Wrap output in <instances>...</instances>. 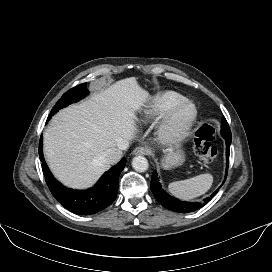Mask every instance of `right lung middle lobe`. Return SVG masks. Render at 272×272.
<instances>
[{
    "label": "right lung middle lobe",
    "mask_w": 272,
    "mask_h": 272,
    "mask_svg": "<svg viewBox=\"0 0 272 272\" xmlns=\"http://www.w3.org/2000/svg\"><path fill=\"white\" fill-rule=\"evenodd\" d=\"M88 94L86 83H82L73 87L66 93L62 95V97L57 101L53 109L51 110L47 121L61 108L68 106L69 104L75 103L82 98H84Z\"/></svg>",
    "instance_id": "1"
}]
</instances>
